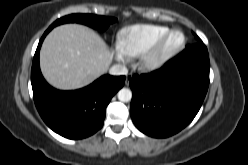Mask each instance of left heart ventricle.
<instances>
[{
	"mask_svg": "<svg viewBox=\"0 0 248 165\" xmlns=\"http://www.w3.org/2000/svg\"><path fill=\"white\" fill-rule=\"evenodd\" d=\"M180 41V35L174 34L170 36L163 45V50L170 49L174 47Z\"/></svg>",
	"mask_w": 248,
	"mask_h": 165,
	"instance_id": "1",
	"label": "left heart ventricle"
}]
</instances>
